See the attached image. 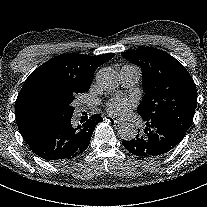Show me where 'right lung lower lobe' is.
Here are the masks:
<instances>
[{
  "instance_id": "right-lung-lower-lobe-1",
  "label": "right lung lower lobe",
  "mask_w": 207,
  "mask_h": 207,
  "mask_svg": "<svg viewBox=\"0 0 207 207\" xmlns=\"http://www.w3.org/2000/svg\"><path fill=\"white\" fill-rule=\"evenodd\" d=\"M71 118L42 124L21 135L40 158L53 163L71 161L83 154L96 125L103 120L100 115H93L75 127Z\"/></svg>"
}]
</instances>
